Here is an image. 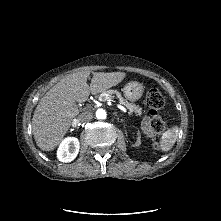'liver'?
Returning a JSON list of instances; mask_svg holds the SVG:
<instances>
[{
	"label": "liver",
	"mask_w": 221,
	"mask_h": 221,
	"mask_svg": "<svg viewBox=\"0 0 221 221\" xmlns=\"http://www.w3.org/2000/svg\"><path fill=\"white\" fill-rule=\"evenodd\" d=\"M73 73L55 84L39 101L32 118V131L37 146L43 151L54 150L63 140L73 118L79 114L76 102L82 103L89 94H98L119 84L124 72Z\"/></svg>",
	"instance_id": "6515ba94"
}]
</instances>
